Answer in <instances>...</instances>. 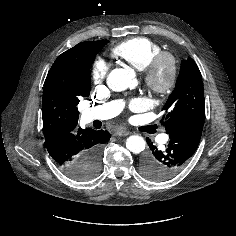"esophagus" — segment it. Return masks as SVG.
Returning a JSON list of instances; mask_svg holds the SVG:
<instances>
[{
    "label": "esophagus",
    "mask_w": 236,
    "mask_h": 236,
    "mask_svg": "<svg viewBox=\"0 0 236 236\" xmlns=\"http://www.w3.org/2000/svg\"><path fill=\"white\" fill-rule=\"evenodd\" d=\"M129 134H131V132L128 131V130H125V129H118V130L115 132V135H116V136H127V135H129Z\"/></svg>",
    "instance_id": "1"
}]
</instances>
